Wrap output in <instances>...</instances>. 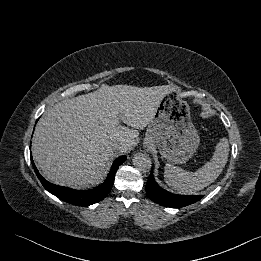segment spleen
I'll use <instances>...</instances> for the list:
<instances>
[{
  "mask_svg": "<svg viewBox=\"0 0 261 261\" xmlns=\"http://www.w3.org/2000/svg\"><path fill=\"white\" fill-rule=\"evenodd\" d=\"M228 154V139L222 138L217 143L211 160L196 172H189L167 163L164 167L165 182L179 193L193 194L217 179L227 163Z\"/></svg>",
  "mask_w": 261,
  "mask_h": 261,
  "instance_id": "spleen-1",
  "label": "spleen"
}]
</instances>
